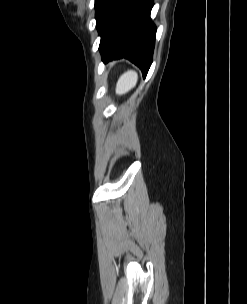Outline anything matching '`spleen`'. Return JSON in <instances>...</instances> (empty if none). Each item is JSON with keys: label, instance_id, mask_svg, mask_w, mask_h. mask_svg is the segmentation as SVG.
<instances>
[{"label": "spleen", "instance_id": "obj_1", "mask_svg": "<svg viewBox=\"0 0 247 304\" xmlns=\"http://www.w3.org/2000/svg\"><path fill=\"white\" fill-rule=\"evenodd\" d=\"M138 81V75L133 70H128L125 73H123L116 84V94L123 95L133 89Z\"/></svg>", "mask_w": 247, "mask_h": 304}]
</instances>
